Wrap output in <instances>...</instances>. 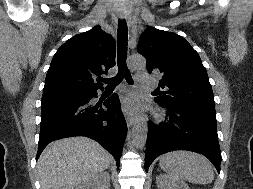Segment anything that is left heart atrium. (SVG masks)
Wrapping results in <instances>:
<instances>
[{
	"label": "left heart atrium",
	"instance_id": "obj_1",
	"mask_svg": "<svg viewBox=\"0 0 253 189\" xmlns=\"http://www.w3.org/2000/svg\"><path fill=\"white\" fill-rule=\"evenodd\" d=\"M124 109L128 113H135L138 110V104L136 103L134 99H131V98L126 99L124 101Z\"/></svg>",
	"mask_w": 253,
	"mask_h": 189
}]
</instances>
